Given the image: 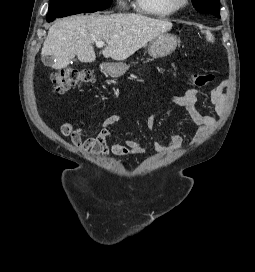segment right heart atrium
<instances>
[{
  "mask_svg": "<svg viewBox=\"0 0 255 272\" xmlns=\"http://www.w3.org/2000/svg\"><path fill=\"white\" fill-rule=\"evenodd\" d=\"M118 6L120 7V8H125V3H124V1L123 0H118Z\"/></svg>",
  "mask_w": 255,
  "mask_h": 272,
  "instance_id": "1",
  "label": "right heart atrium"
}]
</instances>
